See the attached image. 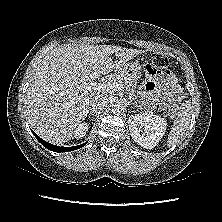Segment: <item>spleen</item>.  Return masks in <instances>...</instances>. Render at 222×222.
Wrapping results in <instances>:
<instances>
[{"label": "spleen", "instance_id": "obj_1", "mask_svg": "<svg viewBox=\"0 0 222 222\" xmlns=\"http://www.w3.org/2000/svg\"><path fill=\"white\" fill-rule=\"evenodd\" d=\"M192 106L190 102H186L181 106L180 112L174 121L173 127L169 132L167 146L172 147L178 144L183 138L185 132L189 128L191 120Z\"/></svg>", "mask_w": 222, "mask_h": 222}]
</instances>
